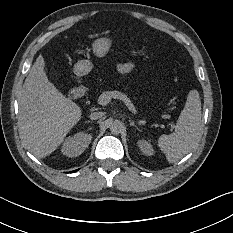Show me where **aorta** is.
<instances>
[{"instance_id": "1", "label": "aorta", "mask_w": 233, "mask_h": 233, "mask_svg": "<svg viewBox=\"0 0 233 233\" xmlns=\"http://www.w3.org/2000/svg\"><path fill=\"white\" fill-rule=\"evenodd\" d=\"M110 129L114 134H117L120 132L121 129V123L117 122V121H113L110 125Z\"/></svg>"}]
</instances>
